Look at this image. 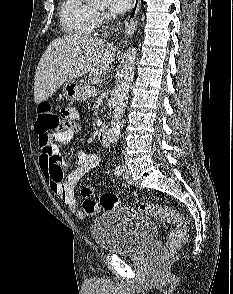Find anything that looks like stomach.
Masks as SVG:
<instances>
[{"instance_id": "0dacf381", "label": "stomach", "mask_w": 233, "mask_h": 294, "mask_svg": "<svg viewBox=\"0 0 233 294\" xmlns=\"http://www.w3.org/2000/svg\"><path fill=\"white\" fill-rule=\"evenodd\" d=\"M63 96L69 102L81 100V86L78 81L67 80L63 86Z\"/></svg>"}]
</instances>
